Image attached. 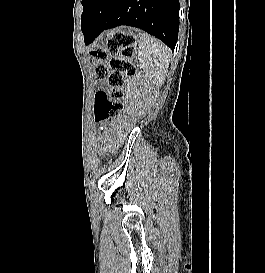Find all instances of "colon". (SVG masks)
<instances>
[{
  "label": "colon",
  "mask_w": 265,
  "mask_h": 273,
  "mask_svg": "<svg viewBox=\"0 0 265 273\" xmlns=\"http://www.w3.org/2000/svg\"><path fill=\"white\" fill-rule=\"evenodd\" d=\"M135 44L136 38L133 34L116 32L110 36L105 48L91 51V55L100 61L106 60L109 54L112 55L110 72L104 65L96 68L97 78L105 80L110 86L109 90L98 91L94 97V119L98 123L107 122L123 110V87L126 77L136 73V68L130 61L135 53ZM98 133L96 145L99 147V152H110V148L113 147V137L110 136L109 128H98Z\"/></svg>",
  "instance_id": "obj_1"
}]
</instances>
